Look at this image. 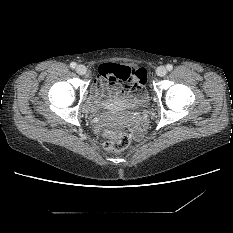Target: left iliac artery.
I'll list each match as a JSON object with an SVG mask.
<instances>
[{"instance_id": "left-iliac-artery-1", "label": "left iliac artery", "mask_w": 233, "mask_h": 233, "mask_svg": "<svg viewBox=\"0 0 233 233\" xmlns=\"http://www.w3.org/2000/svg\"><path fill=\"white\" fill-rule=\"evenodd\" d=\"M166 68L168 71H171L173 69V66L171 64H167Z\"/></svg>"}]
</instances>
